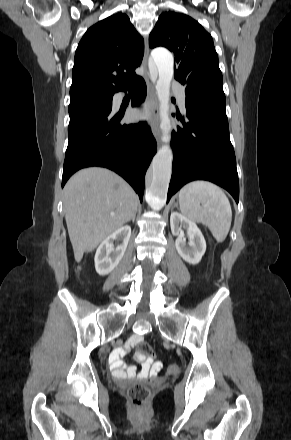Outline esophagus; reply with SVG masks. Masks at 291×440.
I'll list each match as a JSON object with an SVG mask.
<instances>
[{"label": "esophagus", "mask_w": 291, "mask_h": 440, "mask_svg": "<svg viewBox=\"0 0 291 440\" xmlns=\"http://www.w3.org/2000/svg\"><path fill=\"white\" fill-rule=\"evenodd\" d=\"M148 57H149V48H148V45L146 44L145 52H144L145 63H147ZM145 78H146V84H147V98H148V101H151L153 103V107H152V111H151L152 132H153L158 144H160V128H159V122H158V110H157L156 102H155L156 101V92H155L154 86L152 85V83L149 80L147 70H146Z\"/></svg>", "instance_id": "esophagus-1"}]
</instances>
